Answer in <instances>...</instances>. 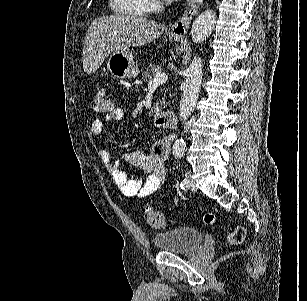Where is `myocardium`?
Here are the masks:
<instances>
[{
  "mask_svg": "<svg viewBox=\"0 0 307 301\" xmlns=\"http://www.w3.org/2000/svg\"><path fill=\"white\" fill-rule=\"evenodd\" d=\"M151 12H163V11H161L159 8H153V9L148 13V17H151Z\"/></svg>",
  "mask_w": 307,
  "mask_h": 301,
  "instance_id": "obj_1",
  "label": "myocardium"
}]
</instances>
